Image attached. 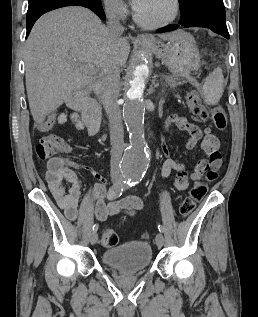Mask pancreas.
Here are the masks:
<instances>
[{"label":"pancreas","instance_id":"pancreas-1","mask_svg":"<svg viewBox=\"0 0 258 317\" xmlns=\"http://www.w3.org/2000/svg\"><path fill=\"white\" fill-rule=\"evenodd\" d=\"M166 82H169V86H177L178 84L173 76H166Z\"/></svg>","mask_w":258,"mask_h":317}]
</instances>
